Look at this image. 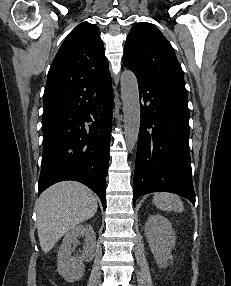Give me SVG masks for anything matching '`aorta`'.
<instances>
[{"instance_id":"aorta-1","label":"aorta","mask_w":231,"mask_h":286,"mask_svg":"<svg viewBox=\"0 0 231 286\" xmlns=\"http://www.w3.org/2000/svg\"><path fill=\"white\" fill-rule=\"evenodd\" d=\"M121 95L124 113V134L126 145L132 151L138 141L140 128V102L138 82L130 70L122 72L120 77Z\"/></svg>"}]
</instances>
